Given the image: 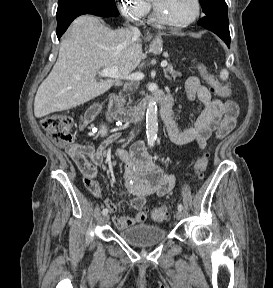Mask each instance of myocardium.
<instances>
[{"mask_svg": "<svg viewBox=\"0 0 273 288\" xmlns=\"http://www.w3.org/2000/svg\"><path fill=\"white\" fill-rule=\"evenodd\" d=\"M195 2V11L194 14L187 20L177 22L172 21L170 19H167L162 15V13L159 11V9L156 7L155 3L153 2V14L154 18L161 24L169 26V27H175V28H183L187 27L188 25L192 24L196 19L199 17L201 12V1L200 0H194Z\"/></svg>", "mask_w": 273, "mask_h": 288, "instance_id": "obj_1", "label": "myocardium"}]
</instances>
